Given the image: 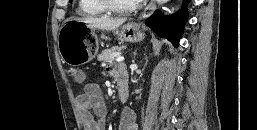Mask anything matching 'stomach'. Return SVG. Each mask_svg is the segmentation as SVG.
Here are the masks:
<instances>
[{"label": "stomach", "mask_w": 257, "mask_h": 130, "mask_svg": "<svg viewBox=\"0 0 257 130\" xmlns=\"http://www.w3.org/2000/svg\"><path fill=\"white\" fill-rule=\"evenodd\" d=\"M115 34L121 41L126 42H139L145 37L140 25L134 22L123 25ZM92 37H95V29L87 24L77 20L65 22L58 36V49L63 62L77 66L94 59L98 52V42L96 40L95 44L92 43Z\"/></svg>", "instance_id": "stomach-1"}]
</instances>
